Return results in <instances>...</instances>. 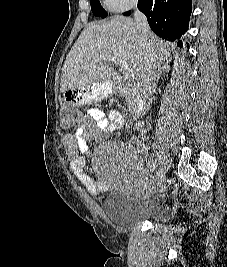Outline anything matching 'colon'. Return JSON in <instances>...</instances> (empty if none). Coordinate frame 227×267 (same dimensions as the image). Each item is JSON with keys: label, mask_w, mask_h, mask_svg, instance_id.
<instances>
[{"label": "colon", "mask_w": 227, "mask_h": 267, "mask_svg": "<svg viewBox=\"0 0 227 267\" xmlns=\"http://www.w3.org/2000/svg\"><path fill=\"white\" fill-rule=\"evenodd\" d=\"M71 105L77 104H66L61 113V124L64 129L71 126L76 119H83V114H75L74 111L71 110Z\"/></svg>", "instance_id": "colon-1"}]
</instances>
